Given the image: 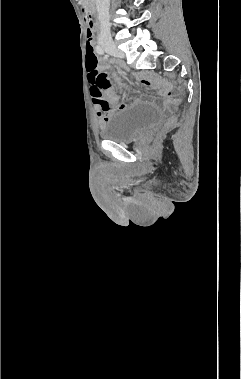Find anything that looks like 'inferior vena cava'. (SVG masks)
<instances>
[{
    "mask_svg": "<svg viewBox=\"0 0 241 379\" xmlns=\"http://www.w3.org/2000/svg\"><path fill=\"white\" fill-rule=\"evenodd\" d=\"M109 6H110V0H96V9L98 13V19L100 22L99 36L101 38L111 40L110 26L108 22Z\"/></svg>",
    "mask_w": 241,
    "mask_h": 379,
    "instance_id": "1",
    "label": "inferior vena cava"
}]
</instances>
